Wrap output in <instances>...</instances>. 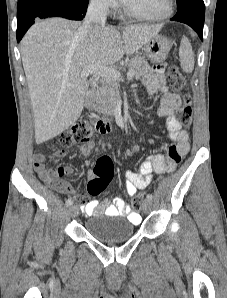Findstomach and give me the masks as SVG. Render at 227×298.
<instances>
[{"label": "stomach", "instance_id": "0dacf381", "mask_svg": "<svg viewBox=\"0 0 227 298\" xmlns=\"http://www.w3.org/2000/svg\"><path fill=\"white\" fill-rule=\"evenodd\" d=\"M171 49L170 41L162 36L156 35L151 38L146 44L143 46V51L146 53L148 58L153 62H163L166 60Z\"/></svg>", "mask_w": 227, "mask_h": 298}]
</instances>
